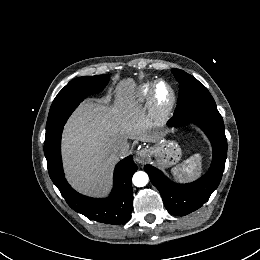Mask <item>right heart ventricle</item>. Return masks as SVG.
Wrapping results in <instances>:
<instances>
[{"mask_svg": "<svg viewBox=\"0 0 260 260\" xmlns=\"http://www.w3.org/2000/svg\"><path fill=\"white\" fill-rule=\"evenodd\" d=\"M153 84L152 81H146L128 93L124 97V105L131 109L139 108L142 103L148 100Z\"/></svg>", "mask_w": 260, "mask_h": 260, "instance_id": "1", "label": "right heart ventricle"}]
</instances>
